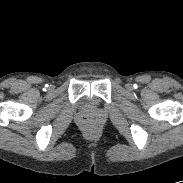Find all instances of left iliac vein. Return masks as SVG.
Listing matches in <instances>:
<instances>
[{"mask_svg":"<svg viewBox=\"0 0 183 183\" xmlns=\"http://www.w3.org/2000/svg\"><path fill=\"white\" fill-rule=\"evenodd\" d=\"M127 88H128V89H131V88H132V86H131L130 84H128V85H127Z\"/></svg>","mask_w":183,"mask_h":183,"instance_id":"4c4485c4","label":"left iliac vein"}]
</instances>
